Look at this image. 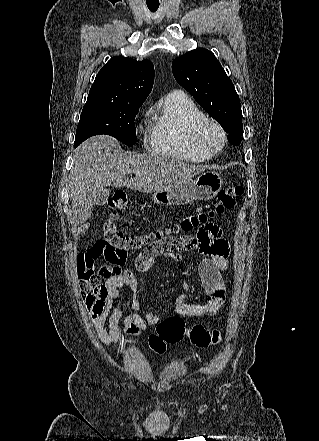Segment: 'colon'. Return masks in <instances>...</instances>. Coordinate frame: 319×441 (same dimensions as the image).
<instances>
[{
	"label": "colon",
	"instance_id": "5ec220e1",
	"mask_svg": "<svg viewBox=\"0 0 319 441\" xmlns=\"http://www.w3.org/2000/svg\"><path fill=\"white\" fill-rule=\"evenodd\" d=\"M243 191L241 185H234L220 191L214 202L185 213L178 223L169 227L167 233L188 232L194 228L202 229L210 219L232 210ZM108 206L113 210L126 208V194L121 190L115 191L108 199ZM114 219L115 214H111L104 223L103 239L99 242L103 248V255L111 263L123 265L129 253L146 247L162 235L160 232L126 234L118 230ZM78 277L81 288H89L93 283L92 266L90 264L78 265ZM186 332L191 343L199 348L214 346L221 340V333L218 330H208L202 325H195L186 331L184 321L179 316H171L158 323L155 332L148 338V346L155 353L163 354L169 344L182 340Z\"/></svg>",
	"mask_w": 319,
	"mask_h": 441
}]
</instances>
